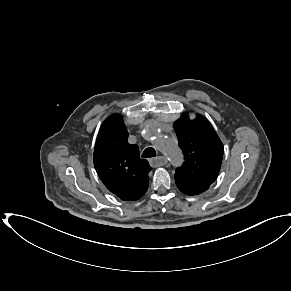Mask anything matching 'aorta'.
<instances>
[{
    "label": "aorta",
    "mask_w": 291,
    "mask_h": 291,
    "mask_svg": "<svg viewBox=\"0 0 291 291\" xmlns=\"http://www.w3.org/2000/svg\"><path fill=\"white\" fill-rule=\"evenodd\" d=\"M147 136L149 138L156 137L154 142L157 148L173 162H180L182 160V154L175 142L169 138H160L157 134V130L154 128H149L147 131Z\"/></svg>",
    "instance_id": "aorta-1"
}]
</instances>
